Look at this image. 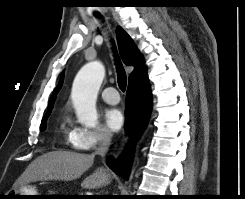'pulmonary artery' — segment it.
Masks as SVG:
<instances>
[{"instance_id": "e3ab8cb5", "label": "pulmonary artery", "mask_w": 245, "mask_h": 199, "mask_svg": "<svg viewBox=\"0 0 245 199\" xmlns=\"http://www.w3.org/2000/svg\"><path fill=\"white\" fill-rule=\"evenodd\" d=\"M101 96L105 102L108 104H118L120 101V97L118 95L117 90L114 87H107L101 92Z\"/></svg>"}]
</instances>
